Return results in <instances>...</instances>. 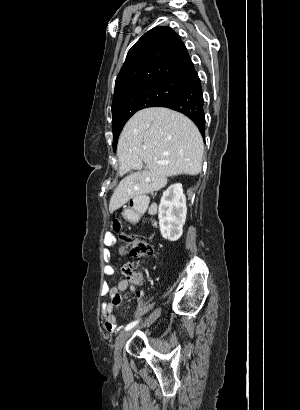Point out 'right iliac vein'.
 Instances as JSON below:
<instances>
[{
  "mask_svg": "<svg viewBox=\"0 0 300 410\" xmlns=\"http://www.w3.org/2000/svg\"><path fill=\"white\" fill-rule=\"evenodd\" d=\"M160 315V309L155 310L149 317L148 319L142 324V326H150L155 320L159 317ZM131 331L129 332H124L121 333L115 342V350H114V357L116 361L120 360V355H121V349L125 343V341L128 339L130 336Z\"/></svg>",
  "mask_w": 300,
  "mask_h": 410,
  "instance_id": "obj_1",
  "label": "right iliac vein"
}]
</instances>
